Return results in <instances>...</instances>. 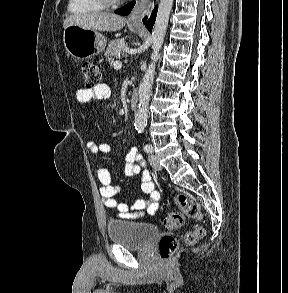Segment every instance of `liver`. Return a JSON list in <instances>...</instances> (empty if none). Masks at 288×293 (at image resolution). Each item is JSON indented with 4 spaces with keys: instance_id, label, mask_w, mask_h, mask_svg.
I'll return each mask as SVG.
<instances>
[{
    "instance_id": "6515ba94",
    "label": "liver",
    "mask_w": 288,
    "mask_h": 293,
    "mask_svg": "<svg viewBox=\"0 0 288 293\" xmlns=\"http://www.w3.org/2000/svg\"><path fill=\"white\" fill-rule=\"evenodd\" d=\"M126 19L109 12L73 14L64 20V29L71 24L95 31L115 32L124 27Z\"/></svg>"
}]
</instances>
